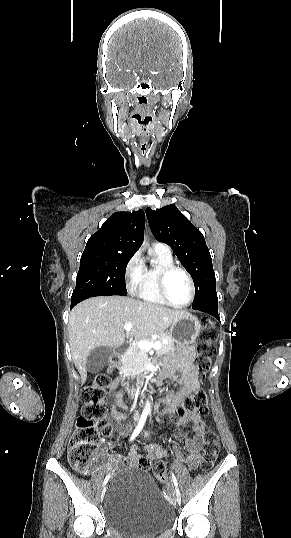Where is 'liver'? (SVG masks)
<instances>
[{"label": "liver", "mask_w": 291, "mask_h": 538, "mask_svg": "<svg viewBox=\"0 0 291 538\" xmlns=\"http://www.w3.org/2000/svg\"><path fill=\"white\" fill-rule=\"evenodd\" d=\"M185 314L123 296L94 297L77 304L69 315L68 333L72 359L82 383L87 378V357L93 349H116L125 338H149L164 332ZM127 322L133 325L130 330L124 329Z\"/></svg>", "instance_id": "liver-1"}]
</instances>
